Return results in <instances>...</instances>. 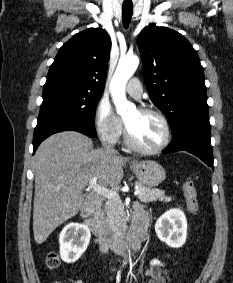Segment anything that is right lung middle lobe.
Returning <instances> with one entry per match:
<instances>
[{
	"label": "right lung middle lobe",
	"mask_w": 233,
	"mask_h": 283,
	"mask_svg": "<svg viewBox=\"0 0 233 283\" xmlns=\"http://www.w3.org/2000/svg\"><path fill=\"white\" fill-rule=\"evenodd\" d=\"M102 92H93L64 84H45L38 122L54 117L94 124L96 104Z\"/></svg>",
	"instance_id": "dd1d6c3e"
}]
</instances>
